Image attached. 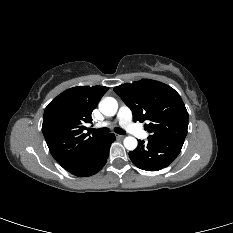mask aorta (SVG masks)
I'll return each instance as SVG.
<instances>
[{
	"label": "aorta",
	"instance_id": "obj_1",
	"mask_svg": "<svg viewBox=\"0 0 233 233\" xmlns=\"http://www.w3.org/2000/svg\"><path fill=\"white\" fill-rule=\"evenodd\" d=\"M99 110L105 116L108 117L114 116L118 110V103L116 99L112 97H106L100 101ZM123 143L125 148L130 151L136 149L138 145L137 139L132 136L126 137Z\"/></svg>",
	"mask_w": 233,
	"mask_h": 233
}]
</instances>
